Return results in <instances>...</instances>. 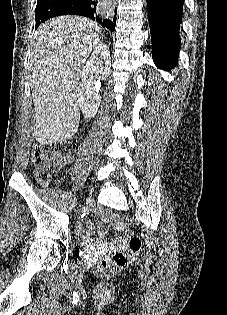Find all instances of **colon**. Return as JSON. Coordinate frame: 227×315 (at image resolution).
<instances>
[{
    "label": "colon",
    "mask_w": 227,
    "mask_h": 315,
    "mask_svg": "<svg viewBox=\"0 0 227 315\" xmlns=\"http://www.w3.org/2000/svg\"><path fill=\"white\" fill-rule=\"evenodd\" d=\"M79 147L80 141L77 138L50 145L36 144L33 148L32 162L36 169L38 181L45 183L51 174L57 172L74 157ZM111 221L116 231L126 234L128 249L116 252L110 258L101 260L97 265V270L102 273L128 264L138 254L142 246L141 239L125 228L120 217L113 216Z\"/></svg>",
    "instance_id": "5ec220e1"
}]
</instances>
